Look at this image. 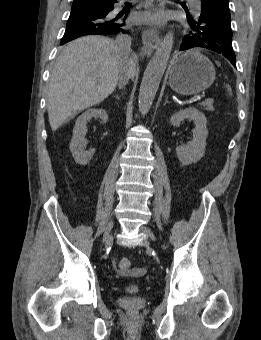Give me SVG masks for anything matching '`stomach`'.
Masks as SVG:
<instances>
[{"mask_svg": "<svg viewBox=\"0 0 261 340\" xmlns=\"http://www.w3.org/2000/svg\"><path fill=\"white\" fill-rule=\"evenodd\" d=\"M169 85L181 95H195L215 80V68L204 55L188 51L175 57L169 67Z\"/></svg>", "mask_w": 261, "mask_h": 340, "instance_id": "1", "label": "stomach"}]
</instances>
